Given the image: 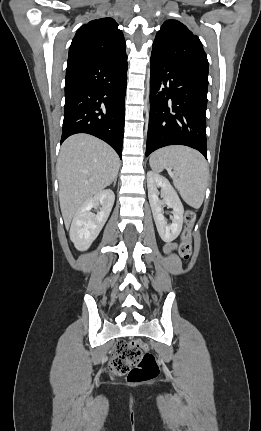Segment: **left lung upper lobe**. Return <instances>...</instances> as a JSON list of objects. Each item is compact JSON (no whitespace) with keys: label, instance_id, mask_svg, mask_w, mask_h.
I'll return each instance as SVG.
<instances>
[{"label":"left lung upper lobe","instance_id":"5c2ea615","mask_svg":"<svg viewBox=\"0 0 261 431\" xmlns=\"http://www.w3.org/2000/svg\"><path fill=\"white\" fill-rule=\"evenodd\" d=\"M152 53L208 74V60L202 43L177 20H167L156 34Z\"/></svg>","mask_w":261,"mask_h":431}]
</instances>
